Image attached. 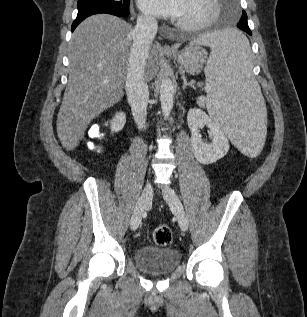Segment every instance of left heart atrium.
<instances>
[{"mask_svg": "<svg viewBox=\"0 0 307 317\" xmlns=\"http://www.w3.org/2000/svg\"><path fill=\"white\" fill-rule=\"evenodd\" d=\"M187 4V0H138L142 11L158 17H179Z\"/></svg>", "mask_w": 307, "mask_h": 317, "instance_id": "left-heart-atrium-1", "label": "left heart atrium"}]
</instances>
